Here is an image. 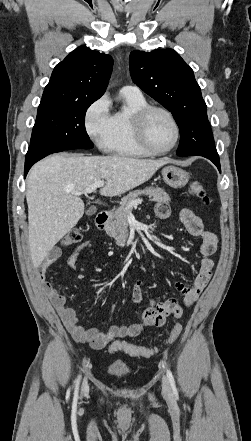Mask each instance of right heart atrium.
Listing matches in <instances>:
<instances>
[{
	"label": "right heart atrium",
	"instance_id": "d8ad5b80",
	"mask_svg": "<svg viewBox=\"0 0 251 441\" xmlns=\"http://www.w3.org/2000/svg\"><path fill=\"white\" fill-rule=\"evenodd\" d=\"M109 102L102 96L92 102L84 115V128L89 138L101 149L106 148L110 132Z\"/></svg>",
	"mask_w": 251,
	"mask_h": 441
}]
</instances>
